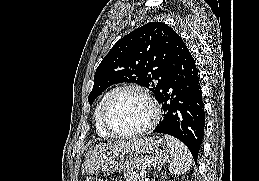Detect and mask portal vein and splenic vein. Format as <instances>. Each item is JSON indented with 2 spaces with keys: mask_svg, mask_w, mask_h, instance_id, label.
<instances>
[{
  "mask_svg": "<svg viewBox=\"0 0 259 181\" xmlns=\"http://www.w3.org/2000/svg\"><path fill=\"white\" fill-rule=\"evenodd\" d=\"M140 176H141L142 178H144V177L146 176V172H145V171H141Z\"/></svg>",
  "mask_w": 259,
  "mask_h": 181,
  "instance_id": "portal-vein-and-splenic-vein-1",
  "label": "portal vein and splenic vein"
}]
</instances>
